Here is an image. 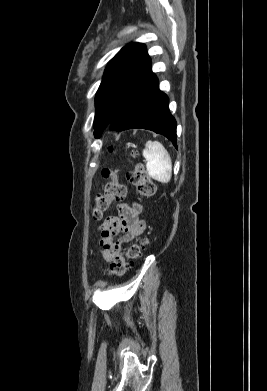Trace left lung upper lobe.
I'll use <instances>...</instances> for the list:
<instances>
[{"instance_id": "5c2ea615", "label": "left lung upper lobe", "mask_w": 267, "mask_h": 391, "mask_svg": "<svg viewBox=\"0 0 267 391\" xmlns=\"http://www.w3.org/2000/svg\"><path fill=\"white\" fill-rule=\"evenodd\" d=\"M151 71L146 47L130 43L108 63L96 93L94 135L100 137L127 94Z\"/></svg>"}]
</instances>
